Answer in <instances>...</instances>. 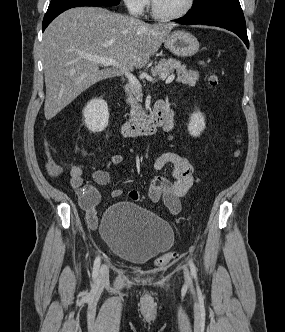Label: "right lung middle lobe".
Here are the masks:
<instances>
[{"label":"right lung middle lobe","instance_id":"obj_1","mask_svg":"<svg viewBox=\"0 0 285 332\" xmlns=\"http://www.w3.org/2000/svg\"><path fill=\"white\" fill-rule=\"evenodd\" d=\"M69 1H89V2L100 3L107 6H114L120 3V0H51V4L69 2Z\"/></svg>","mask_w":285,"mask_h":332}]
</instances>
